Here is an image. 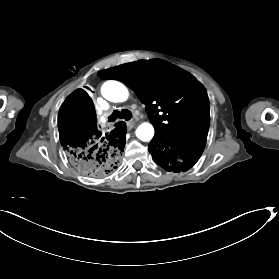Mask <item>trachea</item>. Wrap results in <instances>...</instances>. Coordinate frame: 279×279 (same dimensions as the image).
<instances>
[{
  "mask_svg": "<svg viewBox=\"0 0 279 279\" xmlns=\"http://www.w3.org/2000/svg\"><path fill=\"white\" fill-rule=\"evenodd\" d=\"M132 117V114L129 110L124 109L121 111L115 110L113 113L109 116V122H114L116 119H125L130 120Z\"/></svg>",
  "mask_w": 279,
  "mask_h": 279,
  "instance_id": "3493384b",
  "label": "trachea"
}]
</instances>
